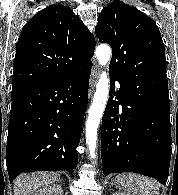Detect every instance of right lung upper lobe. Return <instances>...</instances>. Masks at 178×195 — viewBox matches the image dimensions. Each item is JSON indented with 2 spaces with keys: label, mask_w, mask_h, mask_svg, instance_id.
<instances>
[{
  "label": "right lung upper lobe",
  "mask_w": 178,
  "mask_h": 195,
  "mask_svg": "<svg viewBox=\"0 0 178 195\" xmlns=\"http://www.w3.org/2000/svg\"><path fill=\"white\" fill-rule=\"evenodd\" d=\"M95 39L68 6L53 4L23 27L16 45L12 88L71 76L92 64Z\"/></svg>",
  "instance_id": "obj_1"
}]
</instances>
